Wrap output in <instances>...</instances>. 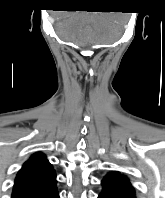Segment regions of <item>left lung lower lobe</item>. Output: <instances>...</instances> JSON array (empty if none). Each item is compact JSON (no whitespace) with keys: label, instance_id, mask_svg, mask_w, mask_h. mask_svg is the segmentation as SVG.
Listing matches in <instances>:
<instances>
[{"label":"left lung lower lobe","instance_id":"obj_1","mask_svg":"<svg viewBox=\"0 0 165 198\" xmlns=\"http://www.w3.org/2000/svg\"><path fill=\"white\" fill-rule=\"evenodd\" d=\"M102 187L98 198H136L130 181L118 172L108 173L102 180Z\"/></svg>","mask_w":165,"mask_h":198}]
</instances>
